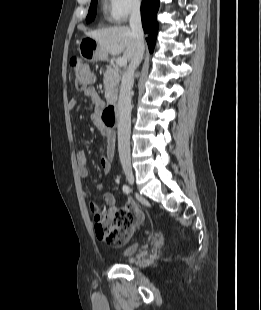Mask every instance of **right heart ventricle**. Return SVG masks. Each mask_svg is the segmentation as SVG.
<instances>
[{
  "mask_svg": "<svg viewBox=\"0 0 261 310\" xmlns=\"http://www.w3.org/2000/svg\"><path fill=\"white\" fill-rule=\"evenodd\" d=\"M106 8H107V5H106V2L103 3V10L106 12Z\"/></svg>",
  "mask_w": 261,
  "mask_h": 310,
  "instance_id": "1",
  "label": "right heart ventricle"
}]
</instances>
